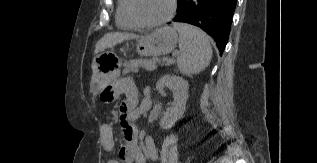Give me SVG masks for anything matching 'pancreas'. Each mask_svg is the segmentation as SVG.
I'll use <instances>...</instances> for the list:
<instances>
[{
	"label": "pancreas",
	"instance_id": "cf45deb5",
	"mask_svg": "<svg viewBox=\"0 0 317 163\" xmlns=\"http://www.w3.org/2000/svg\"><path fill=\"white\" fill-rule=\"evenodd\" d=\"M161 59H133L130 61H124L123 63V74L130 72H138L139 68H144L146 70H154L156 68V63H160Z\"/></svg>",
	"mask_w": 317,
	"mask_h": 163
}]
</instances>
